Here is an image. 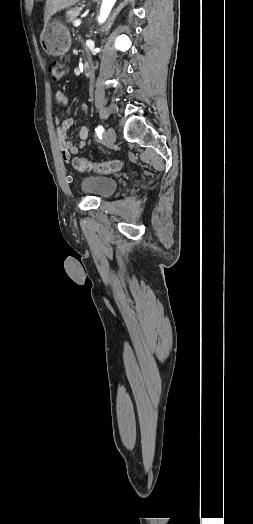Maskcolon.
Listing matches in <instances>:
<instances>
[{"mask_svg":"<svg viewBox=\"0 0 253 524\" xmlns=\"http://www.w3.org/2000/svg\"><path fill=\"white\" fill-rule=\"evenodd\" d=\"M49 71L51 73L52 80L55 82L60 81L66 74L67 68L65 65L58 61H53L49 64ZM73 166L79 171H96L99 173H114L122 168V162L120 160H110L106 162H93L84 158H75L73 160Z\"/></svg>","mask_w":253,"mask_h":524,"instance_id":"obj_1","label":"colon"}]
</instances>
